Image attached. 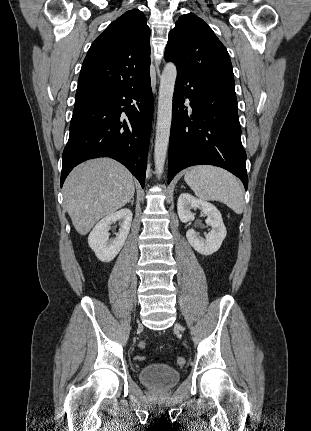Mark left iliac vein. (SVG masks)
I'll return each mask as SVG.
<instances>
[{
	"instance_id": "1",
	"label": "left iliac vein",
	"mask_w": 311,
	"mask_h": 431,
	"mask_svg": "<svg viewBox=\"0 0 311 431\" xmlns=\"http://www.w3.org/2000/svg\"><path fill=\"white\" fill-rule=\"evenodd\" d=\"M175 327H176L178 330L183 331V328L181 327V325H180V324H178V323H177V324L175 325Z\"/></svg>"
}]
</instances>
